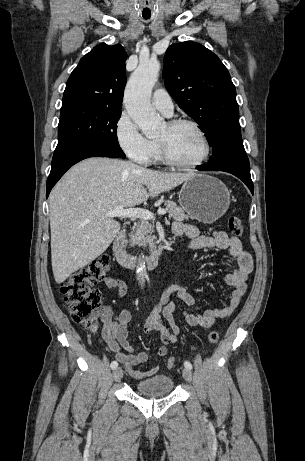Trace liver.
Returning a JSON list of instances; mask_svg holds the SVG:
<instances>
[{"mask_svg":"<svg viewBox=\"0 0 305 461\" xmlns=\"http://www.w3.org/2000/svg\"><path fill=\"white\" fill-rule=\"evenodd\" d=\"M194 174L150 170L129 161L88 158L73 166L49 196L51 260L55 281L100 256L120 224L105 215L171 190Z\"/></svg>","mask_w":305,"mask_h":461,"instance_id":"obj_1","label":"liver"}]
</instances>
